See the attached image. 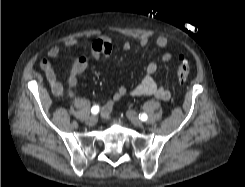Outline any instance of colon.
<instances>
[{"mask_svg":"<svg viewBox=\"0 0 245 187\" xmlns=\"http://www.w3.org/2000/svg\"><path fill=\"white\" fill-rule=\"evenodd\" d=\"M189 72H190V67H189L188 62L183 57H180L179 63L176 69V77L178 81L181 83H184L189 76Z\"/></svg>","mask_w":245,"mask_h":187,"instance_id":"1","label":"colon"}]
</instances>
